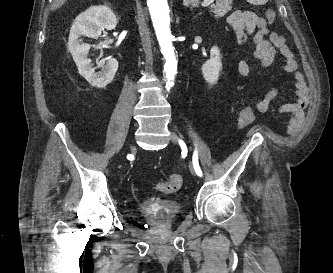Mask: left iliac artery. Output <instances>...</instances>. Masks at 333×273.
Returning a JSON list of instances; mask_svg holds the SVG:
<instances>
[{"mask_svg": "<svg viewBox=\"0 0 333 273\" xmlns=\"http://www.w3.org/2000/svg\"><path fill=\"white\" fill-rule=\"evenodd\" d=\"M179 143L182 144L183 141L179 140ZM192 162H193V167H194V170H195L196 174L199 177H202L203 173H202V170H201V168L199 166V162H198V151L197 150H195L194 153H193Z\"/></svg>", "mask_w": 333, "mask_h": 273, "instance_id": "1", "label": "left iliac artery"}]
</instances>
